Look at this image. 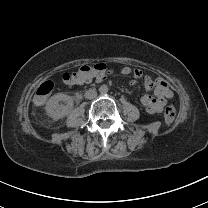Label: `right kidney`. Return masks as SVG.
Returning <instances> with one entry per match:
<instances>
[{"label":"right kidney","instance_id":"ca27d5eb","mask_svg":"<svg viewBox=\"0 0 208 208\" xmlns=\"http://www.w3.org/2000/svg\"><path fill=\"white\" fill-rule=\"evenodd\" d=\"M61 100L65 101L67 106H60L58 102ZM72 105L73 100L70 96L62 93H56L48 99L45 111L52 118L60 119L68 115L72 109Z\"/></svg>","mask_w":208,"mask_h":208}]
</instances>
